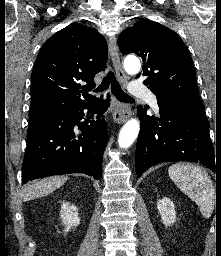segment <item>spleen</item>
<instances>
[{
    "mask_svg": "<svg viewBox=\"0 0 221 256\" xmlns=\"http://www.w3.org/2000/svg\"><path fill=\"white\" fill-rule=\"evenodd\" d=\"M177 187L198 205L202 215L209 218L215 206V188L207 172L189 163H176L168 169Z\"/></svg>",
    "mask_w": 221,
    "mask_h": 256,
    "instance_id": "1",
    "label": "spleen"
}]
</instances>
